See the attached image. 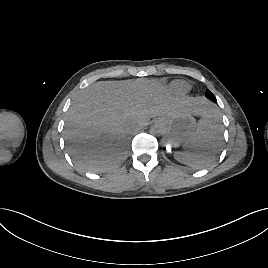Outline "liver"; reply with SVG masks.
<instances>
[{
  "mask_svg": "<svg viewBox=\"0 0 268 268\" xmlns=\"http://www.w3.org/2000/svg\"><path fill=\"white\" fill-rule=\"evenodd\" d=\"M209 109L202 98L172 97L156 81H99L74 97L64 138L76 166L103 172L122 160L133 128L182 112L206 116Z\"/></svg>",
  "mask_w": 268,
  "mask_h": 268,
  "instance_id": "liver-1",
  "label": "liver"
}]
</instances>
